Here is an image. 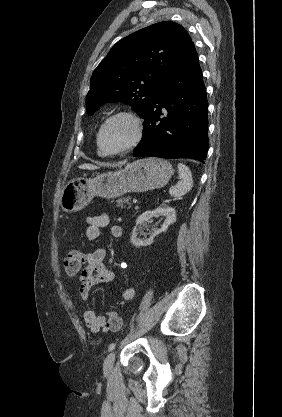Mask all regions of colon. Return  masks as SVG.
I'll return each mask as SVG.
<instances>
[{"label":"colon","instance_id":"5ec220e1","mask_svg":"<svg viewBox=\"0 0 282 417\" xmlns=\"http://www.w3.org/2000/svg\"><path fill=\"white\" fill-rule=\"evenodd\" d=\"M85 264L84 256L78 251L69 252L63 260L64 268L70 276H77ZM107 326L110 330H118L121 327V318L116 312L108 314Z\"/></svg>","mask_w":282,"mask_h":417}]
</instances>
